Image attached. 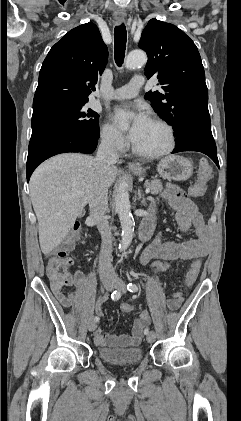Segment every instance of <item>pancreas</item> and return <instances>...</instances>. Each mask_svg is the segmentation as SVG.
I'll return each instance as SVG.
<instances>
[{
    "mask_svg": "<svg viewBox=\"0 0 241 421\" xmlns=\"http://www.w3.org/2000/svg\"><path fill=\"white\" fill-rule=\"evenodd\" d=\"M145 186L151 190L153 195L159 194L163 189L162 183L158 179L146 181Z\"/></svg>",
    "mask_w": 241,
    "mask_h": 421,
    "instance_id": "obj_1",
    "label": "pancreas"
}]
</instances>
